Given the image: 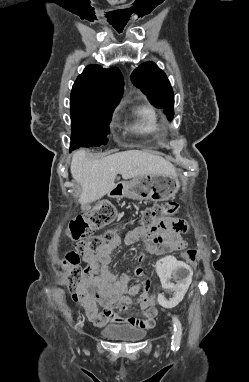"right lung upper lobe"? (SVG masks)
Wrapping results in <instances>:
<instances>
[{"label": "right lung upper lobe", "instance_id": "1", "mask_svg": "<svg viewBox=\"0 0 249 382\" xmlns=\"http://www.w3.org/2000/svg\"><path fill=\"white\" fill-rule=\"evenodd\" d=\"M123 87V76L118 68L104 69L96 64L89 65L73 85L71 110L90 104H108L115 108L122 97Z\"/></svg>", "mask_w": 249, "mask_h": 382}]
</instances>
